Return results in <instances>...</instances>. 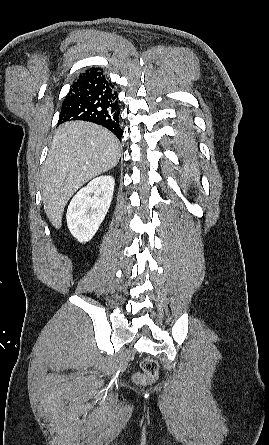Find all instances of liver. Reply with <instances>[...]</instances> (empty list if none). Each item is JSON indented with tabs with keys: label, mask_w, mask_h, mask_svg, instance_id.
<instances>
[{
	"label": "liver",
	"mask_w": 269,
	"mask_h": 445,
	"mask_svg": "<svg viewBox=\"0 0 269 445\" xmlns=\"http://www.w3.org/2000/svg\"><path fill=\"white\" fill-rule=\"evenodd\" d=\"M118 139L107 129L84 121L66 122L55 131L41 172L44 211L59 229L73 194L92 178L117 165Z\"/></svg>",
	"instance_id": "1"
}]
</instances>
